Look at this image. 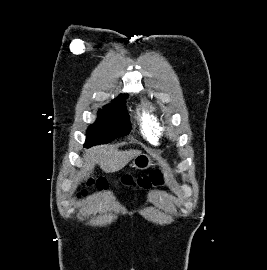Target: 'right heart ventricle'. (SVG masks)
Instances as JSON below:
<instances>
[{
	"mask_svg": "<svg viewBox=\"0 0 267 270\" xmlns=\"http://www.w3.org/2000/svg\"><path fill=\"white\" fill-rule=\"evenodd\" d=\"M140 133L152 144H158L163 136L162 121L150 104L143 102L137 111Z\"/></svg>",
	"mask_w": 267,
	"mask_h": 270,
	"instance_id": "right-heart-ventricle-1",
	"label": "right heart ventricle"
}]
</instances>
